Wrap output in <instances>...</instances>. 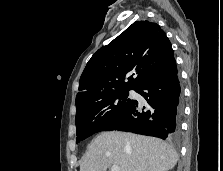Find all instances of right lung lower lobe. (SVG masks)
Instances as JSON below:
<instances>
[{
	"label": "right lung lower lobe",
	"mask_w": 223,
	"mask_h": 171,
	"mask_svg": "<svg viewBox=\"0 0 223 171\" xmlns=\"http://www.w3.org/2000/svg\"><path fill=\"white\" fill-rule=\"evenodd\" d=\"M177 73L174 59L136 90L146 99L147 109L140 112L138 102L134 100L118 120L102 131L120 130L164 140L177 139L182 114V97Z\"/></svg>",
	"instance_id": "obj_1"
}]
</instances>
